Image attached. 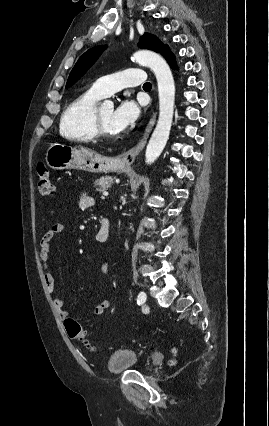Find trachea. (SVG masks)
<instances>
[{"instance_id": "trachea-1", "label": "trachea", "mask_w": 269, "mask_h": 426, "mask_svg": "<svg viewBox=\"0 0 269 426\" xmlns=\"http://www.w3.org/2000/svg\"><path fill=\"white\" fill-rule=\"evenodd\" d=\"M152 87V85H151V83H149V82H146L144 85H143V88H151Z\"/></svg>"}]
</instances>
